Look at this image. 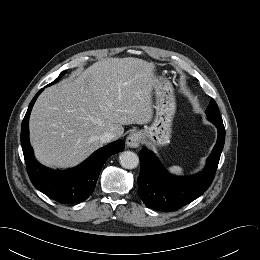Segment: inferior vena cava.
Here are the masks:
<instances>
[{
  "label": "inferior vena cava",
  "mask_w": 260,
  "mask_h": 260,
  "mask_svg": "<svg viewBox=\"0 0 260 260\" xmlns=\"http://www.w3.org/2000/svg\"><path fill=\"white\" fill-rule=\"evenodd\" d=\"M113 139H115V134L112 132H104L102 135H100L101 143H108Z\"/></svg>",
  "instance_id": "1"
}]
</instances>
